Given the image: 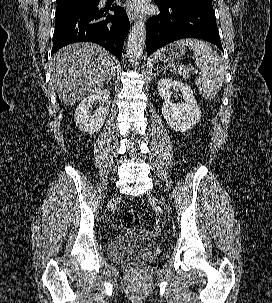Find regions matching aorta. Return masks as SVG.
Returning <instances> with one entry per match:
<instances>
[{"label":"aorta","instance_id":"aorta-1","mask_svg":"<svg viewBox=\"0 0 272 303\" xmlns=\"http://www.w3.org/2000/svg\"><path fill=\"white\" fill-rule=\"evenodd\" d=\"M146 40V25L144 21L138 20L132 26L126 46V55L130 62L134 63L140 59Z\"/></svg>","mask_w":272,"mask_h":303}]
</instances>
